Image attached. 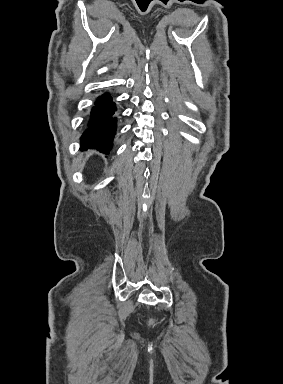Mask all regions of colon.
Listing matches in <instances>:
<instances>
[{
  "mask_svg": "<svg viewBox=\"0 0 283 384\" xmlns=\"http://www.w3.org/2000/svg\"><path fill=\"white\" fill-rule=\"evenodd\" d=\"M153 322H154V321H153V320H151V321H150V324H153Z\"/></svg>",
  "mask_w": 283,
  "mask_h": 384,
  "instance_id": "obj_1",
  "label": "colon"
}]
</instances>
